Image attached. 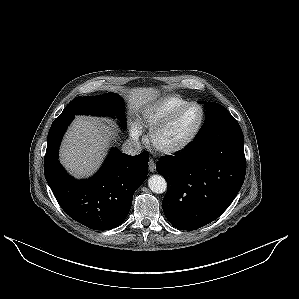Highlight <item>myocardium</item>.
Masks as SVG:
<instances>
[{
	"instance_id": "1",
	"label": "myocardium",
	"mask_w": 299,
	"mask_h": 299,
	"mask_svg": "<svg viewBox=\"0 0 299 299\" xmlns=\"http://www.w3.org/2000/svg\"><path fill=\"white\" fill-rule=\"evenodd\" d=\"M190 106H197L201 109V120H200L198 126L196 127V129L194 130V132L183 143H181L177 146L169 147V148H163V147L159 146L156 141L157 136L162 131H164L168 126H170L174 122V120L186 108H188ZM205 119H206V112H205V108L203 107V105H201L198 102H194V101L187 102L184 105L178 107L169 116H167L165 119H163L162 121H160L158 124L154 125L150 129V133H149L150 146L152 147V149L154 151H156L157 153H159L161 155L171 156V155L178 154V153L184 151L185 149H187L189 146H191L193 144V142L197 139V137L199 136V134L204 126Z\"/></svg>"
}]
</instances>
